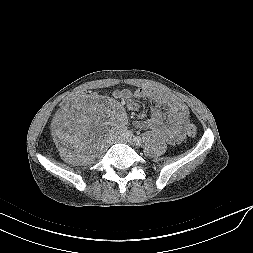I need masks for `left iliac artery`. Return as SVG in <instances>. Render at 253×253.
<instances>
[{
	"label": "left iliac artery",
	"instance_id": "44dca946",
	"mask_svg": "<svg viewBox=\"0 0 253 253\" xmlns=\"http://www.w3.org/2000/svg\"><path fill=\"white\" fill-rule=\"evenodd\" d=\"M134 141H135L136 145H138V146L142 145V142H143V140L139 136H136L134 138Z\"/></svg>",
	"mask_w": 253,
	"mask_h": 253
}]
</instances>
